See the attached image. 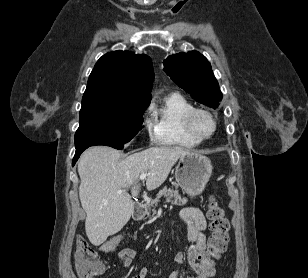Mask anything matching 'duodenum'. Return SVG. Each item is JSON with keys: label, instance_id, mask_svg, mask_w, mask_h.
Returning a JSON list of instances; mask_svg holds the SVG:
<instances>
[{"label": "duodenum", "instance_id": "duodenum-1", "mask_svg": "<svg viewBox=\"0 0 308 278\" xmlns=\"http://www.w3.org/2000/svg\"><path fill=\"white\" fill-rule=\"evenodd\" d=\"M145 212H146V205L144 203H138L134 207L133 218L135 220H139L144 216Z\"/></svg>", "mask_w": 308, "mask_h": 278}]
</instances>
